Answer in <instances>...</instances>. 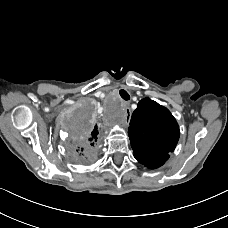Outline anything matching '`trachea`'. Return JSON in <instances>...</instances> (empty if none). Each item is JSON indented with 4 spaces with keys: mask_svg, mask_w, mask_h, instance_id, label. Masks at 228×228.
Listing matches in <instances>:
<instances>
[{
    "mask_svg": "<svg viewBox=\"0 0 228 228\" xmlns=\"http://www.w3.org/2000/svg\"><path fill=\"white\" fill-rule=\"evenodd\" d=\"M119 94H120L121 98L124 99V100H129L130 99V95L128 94V92L126 90L121 89L119 91Z\"/></svg>",
    "mask_w": 228,
    "mask_h": 228,
    "instance_id": "trachea-1",
    "label": "trachea"
}]
</instances>
